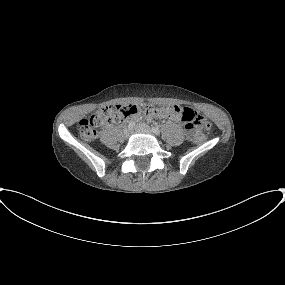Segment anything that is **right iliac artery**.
<instances>
[{
    "label": "right iliac artery",
    "instance_id": "obj_1",
    "mask_svg": "<svg viewBox=\"0 0 285 285\" xmlns=\"http://www.w3.org/2000/svg\"><path fill=\"white\" fill-rule=\"evenodd\" d=\"M134 126H135V122H130L128 125L129 128H133Z\"/></svg>",
    "mask_w": 285,
    "mask_h": 285
}]
</instances>
